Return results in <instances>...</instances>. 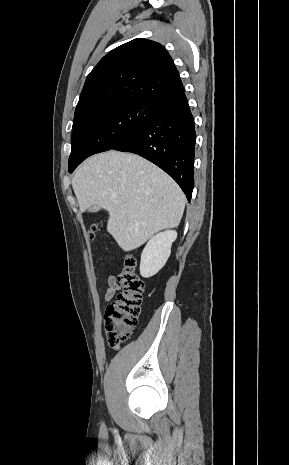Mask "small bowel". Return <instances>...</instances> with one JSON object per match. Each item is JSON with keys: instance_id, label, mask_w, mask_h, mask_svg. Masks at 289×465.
<instances>
[{"instance_id": "1", "label": "small bowel", "mask_w": 289, "mask_h": 465, "mask_svg": "<svg viewBox=\"0 0 289 465\" xmlns=\"http://www.w3.org/2000/svg\"><path fill=\"white\" fill-rule=\"evenodd\" d=\"M119 289V286L117 284V281L115 279L114 276H109L108 279H107V289H106V292H105V299L107 301L111 300L116 291Z\"/></svg>"}]
</instances>
